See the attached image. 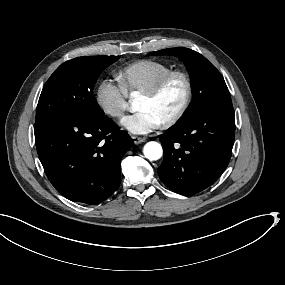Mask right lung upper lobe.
I'll use <instances>...</instances> for the list:
<instances>
[{"mask_svg": "<svg viewBox=\"0 0 285 285\" xmlns=\"http://www.w3.org/2000/svg\"><path fill=\"white\" fill-rule=\"evenodd\" d=\"M102 58H104L105 60H111V61H113V60H118L119 59V57H117V56H101Z\"/></svg>", "mask_w": 285, "mask_h": 285, "instance_id": "1", "label": "right lung upper lobe"}]
</instances>
